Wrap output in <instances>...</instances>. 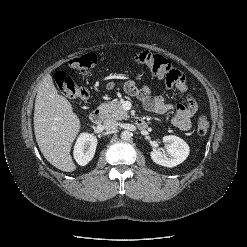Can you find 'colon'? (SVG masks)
Returning <instances> with one entry per match:
<instances>
[{"mask_svg":"<svg viewBox=\"0 0 247 247\" xmlns=\"http://www.w3.org/2000/svg\"><path fill=\"white\" fill-rule=\"evenodd\" d=\"M95 61L94 54L89 53L72 59L69 65L80 73H86L95 64ZM132 61L137 65L146 67L153 75L164 79L168 85H173L184 78L183 73L172 67L166 58L149 51L136 53ZM55 82L59 92L65 97L78 100H87L89 98V91L79 86L74 78L64 71H58L56 73ZM195 125L197 133L199 135H205L209 129L208 117L204 114L198 115Z\"/></svg>","mask_w":247,"mask_h":247,"instance_id":"1","label":"colon"}]
</instances>
